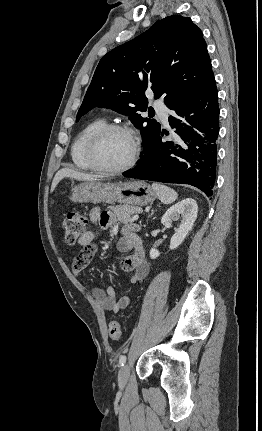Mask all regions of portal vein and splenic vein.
<instances>
[{
	"instance_id": "1",
	"label": "portal vein and splenic vein",
	"mask_w": 262,
	"mask_h": 431,
	"mask_svg": "<svg viewBox=\"0 0 262 431\" xmlns=\"http://www.w3.org/2000/svg\"><path fill=\"white\" fill-rule=\"evenodd\" d=\"M139 219V215H134L133 217H132V221H135V220H138Z\"/></svg>"
}]
</instances>
